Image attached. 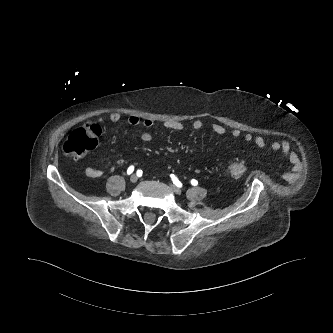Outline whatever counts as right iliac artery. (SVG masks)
Returning a JSON list of instances; mask_svg holds the SVG:
<instances>
[{
  "label": "right iliac artery",
  "mask_w": 333,
  "mask_h": 333,
  "mask_svg": "<svg viewBox=\"0 0 333 333\" xmlns=\"http://www.w3.org/2000/svg\"><path fill=\"white\" fill-rule=\"evenodd\" d=\"M133 171H134V166L131 165V166L127 169V174L130 175Z\"/></svg>",
  "instance_id": "1"
}]
</instances>
